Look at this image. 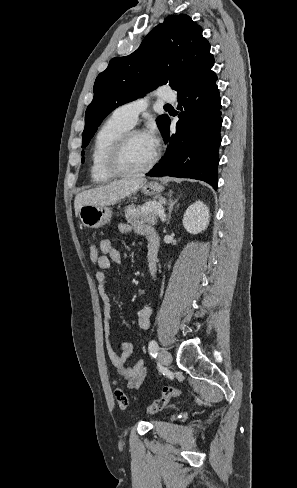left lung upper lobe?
<instances>
[{
	"instance_id": "obj_1",
	"label": "left lung upper lobe",
	"mask_w": 297,
	"mask_h": 488,
	"mask_svg": "<svg viewBox=\"0 0 297 488\" xmlns=\"http://www.w3.org/2000/svg\"><path fill=\"white\" fill-rule=\"evenodd\" d=\"M213 65L214 57L209 42L202 36V28L186 14L169 16L144 38L135 52L113 58L97 76L94 98L85 114L82 148L116 107L167 82L181 95L213 72ZM167 119V115L157 118L162 133Z\"/></svg>"
}]
</instances>
